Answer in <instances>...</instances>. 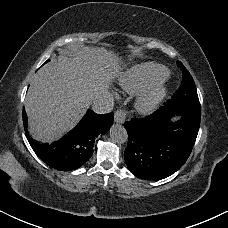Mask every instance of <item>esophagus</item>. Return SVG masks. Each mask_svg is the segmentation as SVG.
Listing matches in <instances>:
<instances>
[{"label": "esophagus", "instance_id": "esophagus-1", "mask_svg": "<svg viewBox=\"0 0 228 228\" xmlns=\"http://www.w3.org/2000/svg\"><path fill=\"white\" fill-rule=\"evenodd\" d=\"M114 119L117 123H124L125 122V111L122 109V110H118L115 112V115H114Z\"/></svg>", "mask_w": 228, "mask_h": 228}]
</instances>
